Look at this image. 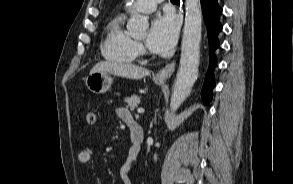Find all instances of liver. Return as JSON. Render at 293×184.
Instances as JSON below:
<instances>
[{"label": "liver", "instance_id": "1", "mask_svg": "<svg viewBox=\"0 0 293 184\" xmlns=\"http://www.w3.org/2000/svg\"><path fill=\"white\" fill-rule=\"evenodd\" d=\"M92 72H107L117 76L136 80L142 79L143 77L150 75V71L143 67L111 61L98 62L91 69L90 73Z\"/></svg>", "mask_w": 293, "mask_h": 184}]
</instances>
